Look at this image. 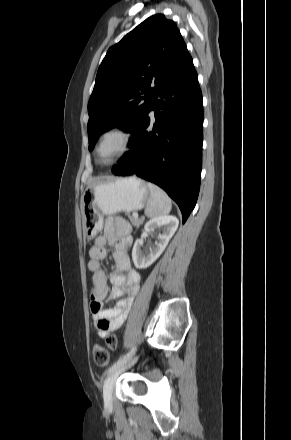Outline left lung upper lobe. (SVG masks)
<instances>
[{"mask_svg": "<svg viewBox=\"0 0 291 440\" xmlns=\"http://www.w3.org/2000/svg\"><path fill=\"white\" fill-rule=\"evenodd\" d=\"M187 52L176 24L162 14L109 48L88 102L90 151L99 135L115 126L135 135L155 91Z\"/></svg>", "mask_w": 291, "mask_h": 440, "instance_id": "obj_1", "label": "left lung upper lobe"}]
</instances>
